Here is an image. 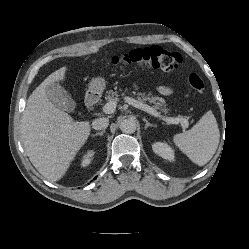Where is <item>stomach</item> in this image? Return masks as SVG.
<instances>
[{
    "label": "stomach",
    "mask_w": 249,
    "mask_h": 249,
    "mask_svg": "<svg viewBox=\"0 0 249 249\" xmlns=\"http://www.w3.org/2000/svg\"><path fill=\"white\" fill-rule=\"evenodd\" d=\"M106 81L102 77L94 78L90 82L89 85V91L93 93H99L102 92L105 89Z\"/></svg>",
    "instance_id": "stomach-1"
}]
</instances>
